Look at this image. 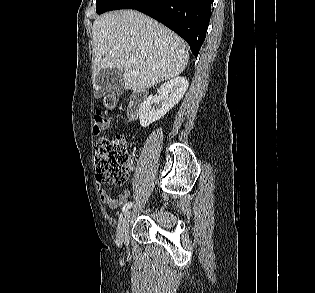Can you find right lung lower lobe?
I'll return each mask as SVG.
<instances>
[{
	"instance_id": "right-lung-lower-lobe-1",
	"label": "right lung lower lobe",
	"mask_w": 315,
	"mask_h": 293,
	"mask_svg": "<svg viewBox=\"0 0 315 293\" xmlns=\"http://www.w3.org/2000/svg\"><path fill=\"white\" fill-rule=\"evenodd\" d=\"M212 0H117L109 9H135L163 23L186 40L197 57L205 40Z\"/></svg>"
}]
</instances>
